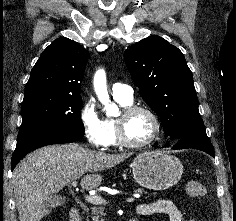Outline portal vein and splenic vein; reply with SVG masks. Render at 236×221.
I'll use <instances>...</instances> for the list:
<instances>
[{
  "label": "portal vein and splenic vein",
  "instance_id": "obj_1",
  "mask_svg": "<svg viewBox=\"0 0 236 221\" xmlns=\"http://www.w3.org/2000/svg\"><path fill=\"white\" fill-rule=\"evenodd\" d=\"M71 185L73 187L77 186V182L73 181L71 183ZM85 200L91 204H95V205H104L106 204V200L104 198H102L101 196H97V195H85ZM135 198L134 197H128L126 198V202H134Z\"/></svg>",
  "mask_w": 236,
  "mask_h": 221
}]
</instances>
